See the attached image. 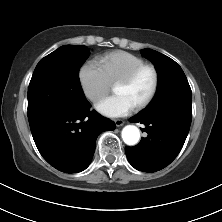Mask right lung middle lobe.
Instances as JSON below:
<instances>
[{"label":"right lung middle lobe","instance_id":"obj_1","mask_svg":"<svg viewBox=\"0 0 222 222\" xmlns=\"http://www.w3.org/2000/svg\"><path fill=\"white\" fill-rule=\"evenodd\" d=\"M89 54L86 46L65 45L41 59L29 84L28 112L84 106L78 75Z\"/></svg>","mask_w":222,"mask_h":222}]
</instances>
